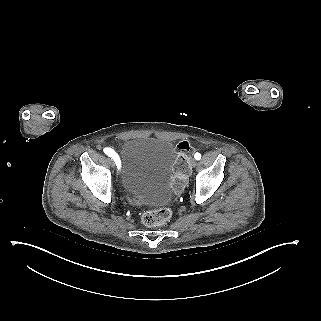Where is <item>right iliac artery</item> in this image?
Here are the masks:
<instances>
[{"mask_svg":"<svg viewBox=\"0 0 321 321\" xmlns=\"http://www.w3.org/2000/svg\"><path fill=\"white\" fill-rule=\"evenodd\" d=\"M104 153L107 154L109 157H112L114 159V161L116 162V164L118 165L119 157L113 149L104 148Z\"/></svg>","mask_w":321,"mask_h":321,"instance_id":"1","label":"right iliac artery"}]
</instances>
